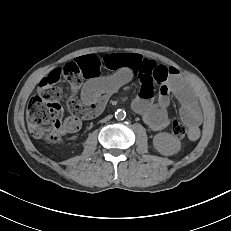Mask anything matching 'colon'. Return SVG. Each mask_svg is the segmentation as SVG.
<instances>
[{
	"label": "colon",
	"mask_w": 231,
	"mask_h": 231,
	"mask_svg": "<svg viewBox=\"0 0 231 231\" xmlns=\"http://www.w3.org/2000/svg\"><path fill=\"white\" fill-rule=\"evenodd\" d=\"M62 90L52 82L42 81L38 93L28 103L27 123L30 133L37 139L57 143L61 140L64 126L60 105ZM171 132L177 138L188 134V129L177 120L171 124Z\"/></svg>",
	"instance_id": "colon-1"
}]
</instances>
